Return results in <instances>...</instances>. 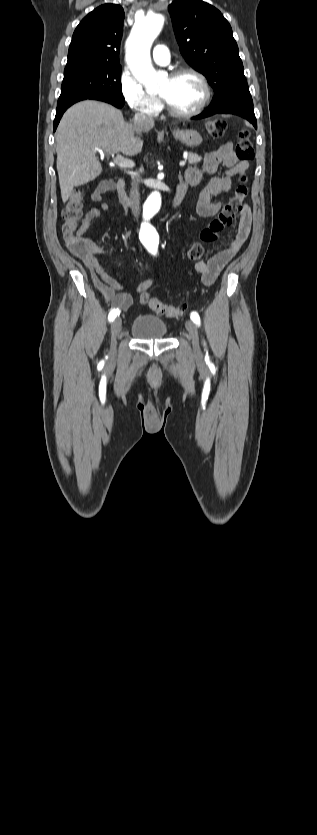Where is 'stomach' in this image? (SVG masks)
Instances as JSON below:
<instances>
[{
  "label": "stomach",
  "mask_w": 317,
  "mask_h": 835,
  "mask_svg": "<svg viewBox=\"0 0 317 835\" xmlns=\"http://www.w3.org/2000/svg\"><path fill=\"white\" fill-rule=\"evenodd\" d=\"M175 139L190 147H197L202 143V137L199 132L189 129H175L173 130Z\"/></svg>",
  "instance_id": "obj_1"
}]
</instances>
